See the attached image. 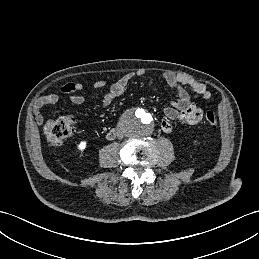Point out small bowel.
<instances>
[{
  "instance_id": "c3829d8e",
  "label": "small bowel",
  "mask_w": 259,
  "mask_h": 259,
  "mask_svg": "<svg viewBox=\"0 0 259 259\" xmlns=\"http://www.w3.org/2000/svg\"><path fill=\"white\" fill-rule=\"evenodd\" d=\"M145 71L138 70L136 73H127L114 82L109 90L103 95L102 102L104 105H109L115 98L121 96L131 80L137 76H143ZM160 76L167 82L172 89L175 100L171 106L164 110L165 119L161 121L160 127L163 132L169 133L172 131L171 121H179L186 125H196L203 118V110L194 104L186 90L189 89L203 99H209L211 93L206 84L199 82L187 74L162 72ZM105 80H99L94 84V89L98 90L106 86ZM83 85L76 82H71L63 85L59 93H51L40 97L34 105V115L38 123L43 121L40 109L47 105L56 104L61 98H66L74 104H82L85 102V97L80 94Z\"/></svg>"
}]
</instances>
